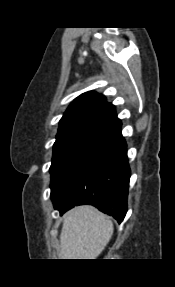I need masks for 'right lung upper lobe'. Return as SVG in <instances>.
Masks as SVG:
<instances>
[{"mask_svg":"<svg viewBox=\"0 0 175 287\" xmlns=\"http://www.w3.org/2000/svg\"><path fill=\"white\" fill-rule=\"evenodd\" d=\"M88 125L116 128L121 125L115 107L105 96L92 91L81 94L70 104L59 122L58 131Z\"/></svg>","mask_w":175,"mask_h":287,"instance_id":"1","label":"right lung upper lobe"}]
</instances>
